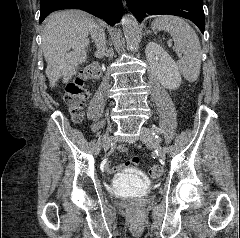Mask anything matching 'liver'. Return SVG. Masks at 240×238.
<instances>
[{
	"instance_id": "1",
	"label": "liver",
	"mask_w": 240,
	"mask_h": 238,
	"mask_svg": "<svg viewBox=\"0 0 240 238\" xmlns=\"http://www.w3.org/2000/svg\"><path fill=\"white\" fill-rule=\"evenodd\" d=\"M97 27L98 23L90 15L79 10L57 12L48 17L42 30V50L51 87L61 78L67 83L76 75L79 65L87 59L88 35Z\"/></svg>"
}]
</instances>
